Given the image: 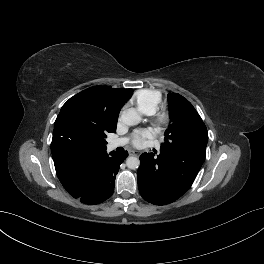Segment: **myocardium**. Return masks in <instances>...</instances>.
<instances>
[{"instance_id":"myocardium-1","label":"myocardium","mask_w":264,"mask_h":264,"mask_svg":"<svg viewBox=\"0 0 264 264\" xmlns=\"http://www.w3.org/2000/svg\"><path fill=\"white\" fill-rule=\"evenodd\" d=\"M155 121L162 127H167L171 122V114L165 109H159L155 113Z\"/></svg>"}]
</instances>
